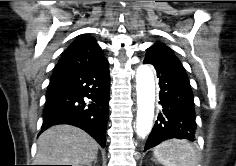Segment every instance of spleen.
<instances>
[{
  "instance_id": "1",
  "label": "spleen",
  "mask_w": 236,
  "mask_h": 166,
  "mask_svg": "<svg viewBox=\"0 0 236 166\" xmlns=\"http://www.w3.org/2000/svg\"><path fill=\"white\" fill-rule=\"evenodd\" d=\"M154 156L164 166H196L195 149L185 140L170 139L154 149Z\"/></svg>"
}]
</instances>
